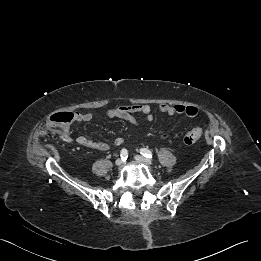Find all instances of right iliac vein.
Wrapping results in <instances>:
<instances>
[{"mask_svg":"<svg viewBox=\"0 0 261 261\" xmlns=\"http://www.w3.org/2000/svg\"><path fill=\"white\" fill-rule=\"evenodd\" d=\"M115 164H116L117 166H121V165L123 164V160L120 159V158H118V159L115 161Z\"/></svg>","mask_w":261,"mask_h":261,"instance_id":"1","label":"right iliac vein"}]
</instances>
